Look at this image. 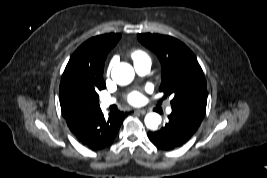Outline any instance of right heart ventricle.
Returning a JSON list of instances; mask_svg holds the SVG:
<instances>
[{"mask_svg": "<svg viewBox=\"0 0 267 178\" xmlns=\"http://www.w3.org/2000/svg\"><path fill=\"white\" fill-rule=\"evenodd\" d=\"M132 58L134 63L141 62L144 60H150L148 55L142 50H135L134 52H132Z\"/></svg>", "mask_w": 267, "mask_h": 178, "instance_id": "1", "label": "right heart ventricle"}]
</instances>
